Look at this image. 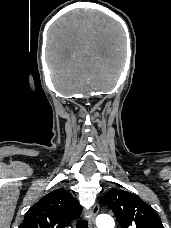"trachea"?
<instances>
[{
	"label": "trachea",
	"mask_w": 171,
	"mask_h": 228,
	"mask_svg": "<svg viewBox=\"0 0 171 228\" xmlns=\"http://www.w3.org/2000/svg\"><path fill=\"white\" fill-rule=\"evenodd\" d=\"M77 228H88V224L85 221H78Z\"/></svg>",
	"instance_id": "obj_1"
}]
</instances>
